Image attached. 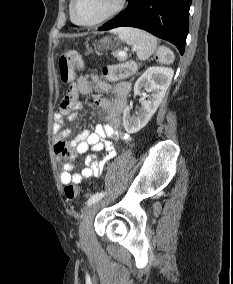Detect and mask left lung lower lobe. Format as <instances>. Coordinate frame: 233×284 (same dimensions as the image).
<instances>
[{"instance_id":"0a47b994","label":"left lung lower lobe","mask_w":233,"mask_h":284,"mask_svg":"<svg viewBox=\"0 0 233 284\" xmlns=\"http://www.w3.org/2000/svg\"><path fill=\"white\" fill-rule=\"evenodd\" d=\"M192 0H129L127 8L99 28L128 26L146 30L173 43L183 55Z\"/></svg>"}]
</instances>
